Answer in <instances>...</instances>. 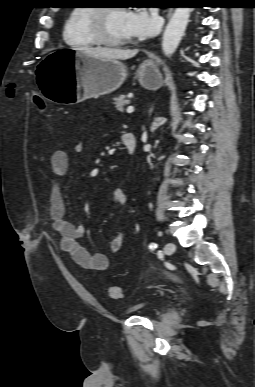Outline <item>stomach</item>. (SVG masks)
Returning a JSON list of instances; mask_svg holds the SVG:
<instances>
[{"label": "stomach", "mask_w": 255, "mask_h": 387, "mask_svg": "<svg viewBox=\"0 0 255 387\" xmlns=\"http://www.w3.org/2000/svg\"><path fill=\"white\" fill-rule=\"evenodd\" d=\"M50 50L45 59L34 60L33 82L44 89L45 99H52V104L72 108L75 102L116 90L128 75L126 65L118 60L96 58L74 46H52ZM136 77L149 90L162 85L161 73L152 60L139 66Z\"/></svg>", "instance_id": "obj_1"}]
</instances>
